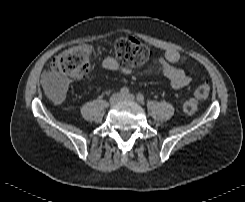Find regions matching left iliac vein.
Wrapping results in <instances>:
<instances>
[{"mask_svg": "<svg viewBox=\"0 0 245 202\" xmlns=\"http://www.w3.org/2000/svg\"><path fill=\"white\" fill-rule=\"evenodd\" d=\"M122 100L134 101L135 100V96L133 94H128V95L123 96Z\"/></svg>", "mask_w": 245, "mask_h": 202, "instance_id": "left-iliac-vein-1", "label": "left iliac vein"}]
</instances>
